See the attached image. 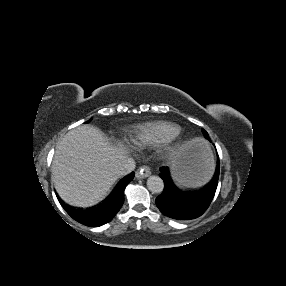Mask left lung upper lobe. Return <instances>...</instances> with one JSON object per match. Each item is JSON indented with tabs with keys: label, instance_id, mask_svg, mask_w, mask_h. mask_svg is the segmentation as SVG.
<instances>
[{
	"label": "left lung upper lobe",
	"instance_id": "obj_1",
	"mask_svg": "<svg viewBox=\"0 0 286 286\" xmlns=\"http://www.w3.org/2000/svg\"><path fill=\"white\" fill-rule=\"evenodd\" d=\"M203 134H204V136L206 137V139L210 140V138H209V136H208V133H207L205 130H203Z\"/></svg>",
	"mask_w": 286,
	"mask_h": 286
}]
</instances>
